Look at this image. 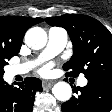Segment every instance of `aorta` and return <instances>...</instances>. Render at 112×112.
Here are the masks:
<instances>
[{
	"mask_svg": "<svg viewBox=\"0 0 112 112\" xmlns=\"http://www.w3.org/2000/svg\"><path fill=\"white\" fill-rule=\"evenodd\" d=\"M25 43L28 47L39 50L47 43V33L40 27H32L25 34ZM52 93L59 101H68L72 96L71 86L64 81L54 85Z\"/></svg>",
	"mask_w": 112,
	"mask_h": 112,
	"instance_id": "obj_1",
	"label": "aorta"
}]
</instances>
